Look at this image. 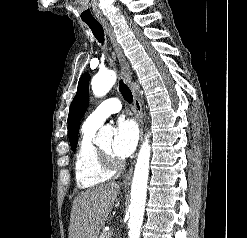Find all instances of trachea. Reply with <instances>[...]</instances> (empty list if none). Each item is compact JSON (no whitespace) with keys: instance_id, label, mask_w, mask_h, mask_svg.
<instances>
[{"instance_id":"trachea-1","label":"trachea","mask_w":247,"mask_h":238,"mask_svg":"<svg viewBox=\"0 0 247 238\" xmlns=\"http://www.w3.org/2000/svg\"><path fill=\"white\" fill-rule=\"evenodd\" d=\"M85 23L89 26L93 35L98 40V42L104 43V31H103V27L101 26V24L98 21H85ZM119 89H120V92L123 98L128 103L131 104L133 102L132 92L127 87V85L123 82V80L119 81Z\"/></svg>"}]
</instances>
